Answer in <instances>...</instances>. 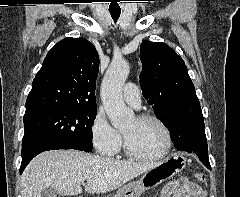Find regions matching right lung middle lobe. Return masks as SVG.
I'll list each match as a JSON object with an SVG mask.
<instances>
[{"instance_id":"obj_1","label":"right lung middle lobe","mask_w":240,"mask_h":197,"mask_svg":"<svg viewBox=\"0 0 240 197\" xmlns=\"http://www.w3.org/2000/svg\"><path fill=\"white\" fill-rule=\"evenodd\" d=\"M97 107L48 106L24 115L22 147L57 142L72 149L92 150V125Z\"/></svg>"}]
</instances>
